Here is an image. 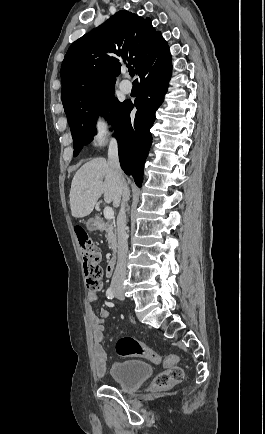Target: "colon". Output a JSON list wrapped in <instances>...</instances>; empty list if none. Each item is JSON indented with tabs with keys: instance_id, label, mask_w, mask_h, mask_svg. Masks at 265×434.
I'll return each instance as SVG.
<instances>
[{
	"instance_id": "colon-1",
	"label": "colon",
	"mask_w": 265,
	"mask_h": 434,
	"mask_svg": "<svg viewBox=\"0 0 265 434\" xmlns=\"http://www.w3.org/2000/svg\"><path fill=\"white\" fill-rule=\"evenodd\" d=\"M73 231L83 260L86 287L91 292H100L102 290V270L99 265L101 259L100 249L93 242L84 226L76 225ZM115 351L121 357L144 356L146 354L145 347L129 335L116 342ZM153 359L166 368L165 371L156 375L153 383L154 389L159 391L169 390L183 379L182 369L175 366L176 357H162L154 354Z\"/></svg>"
}]
</instances>
